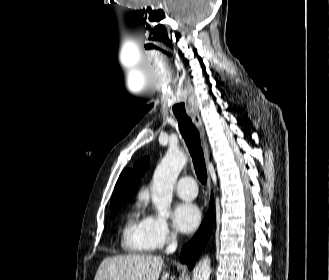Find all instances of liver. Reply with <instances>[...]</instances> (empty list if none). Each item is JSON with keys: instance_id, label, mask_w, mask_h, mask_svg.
<instances>
[{"instance_id": "6515ba94", "label": "liver", "mask_w": 329, "mask_h": 280, "mask_svg": "<svg viewBox=\"0 0 329 280\" xmlns=\"http://www.w3.org/2000/svg\"><path fill=\"white\" fill-rule=\"evenodd\" d=\"M164 261L161 256L117 255L105 258L94 280H158ZM165 272L162 280H167Z\"/></svg>"}]
</instances>
